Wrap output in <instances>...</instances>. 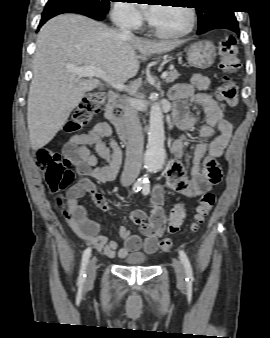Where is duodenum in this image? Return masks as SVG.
I'll list each match as a JSON object with an SVG mask.
<instances>
[{"mask_svg":"<svg viewBox=\"0 0 270 338\" xmlns=\"http://www.w3.org/2000/svg\"><path fill=\"white\" fill-rule=\"evenodd\" d=\"M105 118L118 130L119 135L123 138V116L124 109L120 105L119 96L116 93H110L108 102L104 110Z\"/></svg>","mask_w":270,"mask_h":338,"instance_id":"duodenum-1","label":"duodenum"}]
</instances>
